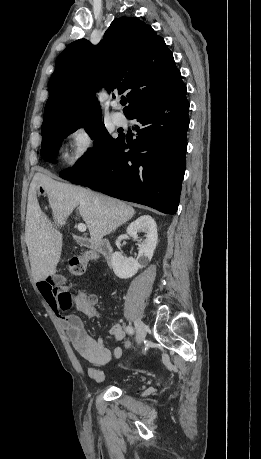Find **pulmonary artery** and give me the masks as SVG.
Returning a JSON list of instances; mask_svg holds the SVG:
<instances>
[{
    "label": "pulmonary artery",
    "mask_w": 261,
    "mask_h": 459,
    "mask_svg": "<svg viewBox=\"0 0 261 459\" xmlns=\"http://www.w3.org/2000/svg\"><path fill=\"white\" fill-rule=\"evenodd\" d=\"M114 106H117V102H114ZM113 122L117 126H123L126 124V118L121 112H115L112 115Z\"/></svg>",
    "instance_id": "pulmonary-artery-1"
}]
</instances>
